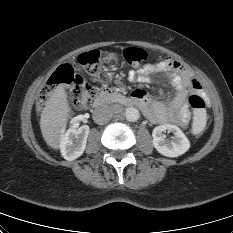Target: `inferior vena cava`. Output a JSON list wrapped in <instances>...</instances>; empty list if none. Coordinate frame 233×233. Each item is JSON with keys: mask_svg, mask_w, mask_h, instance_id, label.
<instances>
[{"mask_svg": "<svg viewBox=\"0 0 233 233\" xmlns=\"http://www.w3.org/2000/svg\"><path fill=\"white\" fill-rule=\"evenodd\" d=\"M112 117L113 111L108 105L98 106L93 111V120L99 125L108 123Z\"/></svg>", "mask_w": 233, "mask_h": 233, "instance_id": "inferior-vena-cava-1", "label": "inferior vena cava"}]
</instances>
